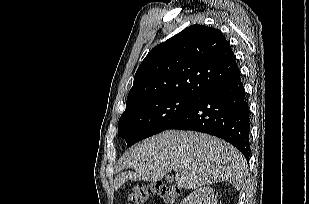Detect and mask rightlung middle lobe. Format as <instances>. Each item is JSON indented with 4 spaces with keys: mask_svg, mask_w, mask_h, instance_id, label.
I'll return each instance as SVG.
<instances>
[{
    "mask_svg": "<svg viewBox=\"0 0 309 204\" xmlns=\"http://www.w3.org/2000/svg\"><path fill=\"white\" fill-rule=\"evenodd\" d=\"M200 97L164 95L126 105L118 122V135L127 146L157 134L189 110Z\"/></svg>",
    "mask_w": 309,
    "mask_h": 204,
    "instance_id": "dd1d6c3e",
    "label": "right lung middle lobe"
}]
</instances>
